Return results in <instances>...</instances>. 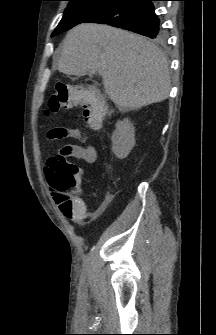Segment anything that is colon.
Instances as JSON below:
<instances>
[{"label":"colon","instance_id":"5ec220e1","mask_svg":"<svg viewBox=\"0 0 216 335\" xmlns=\"http://www.w3.org/2000/svg\"><path fill=\"white\" fill-rule=\"evenodd\" d=\"M79 105L84 108L87 123L95 129L100 128L106 115V106L89 87L83 85L57 86L48 99L45 113L57 114ZM70 154V148L63 146L48 161L52 167L49 174L51 189L57 193L60 208L67 216L81 207L73 194L83 183L79 167L66 160Z\"/></svg>","mask_w":216,"mask_h":335}]
</instances>
